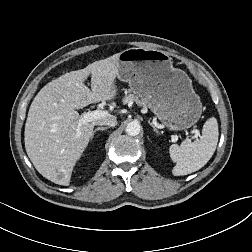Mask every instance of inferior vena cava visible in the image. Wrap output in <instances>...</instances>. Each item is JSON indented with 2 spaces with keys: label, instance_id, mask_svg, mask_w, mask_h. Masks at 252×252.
<instances>
[{
  "label": "inferior vena cava",
  "instance_id": "602c4592",
  "mask_svg": "<svg viewBox=\"0 0 252 252\" xmlns=\"http://www.w3.org/2000/svg\"><path fill=\"white\" fill-rule=\"evenodd\" d=\"M116 124H117V121L115 118L98 122V125H107L110 127H114L116 126Z\"/></svg>",
  "mask_w": 252,
  "mask_h": 252
}]
</instances>
